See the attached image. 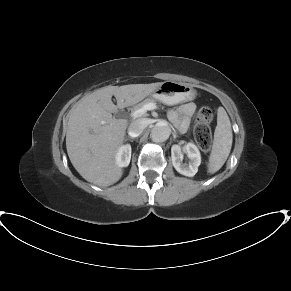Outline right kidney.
<instances>
[{
    "label": "right kidney",
    "mask_w": 291,
    "mask_h": 291,
    "mask_svg": "<svg viewBox=\"0 0 291 291\" xmlns=\"http://www.w3.org/2000/svg\"><path fill=\"white\" fill-rule=\"evenodd\" d=\"M131 159V146L130 144H126L121 146L115 157V162L119 167H127L130 163Z\"/></svg>",
    "instance_id": "1"
}]
</instances>
